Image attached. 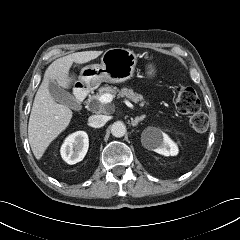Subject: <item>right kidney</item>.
<instances>
[{
  "mask_svg": "<svg viewBox=\"0 0 240 240\" xmlns=\"http://www.w3.org/2000/svg\"><path fill=\"white\" fill-rule=\"evenodd\" d=\"M88 147L89 138L87 133L77 131L65 139L61 147V156L68 164H76L83 160Z\"/></svg>",
  "mask_w": 240,
  "mask_h": 240,
  "instance_id": "ca27d5eb",
  "label": "right kidney"
}]
</instances>
